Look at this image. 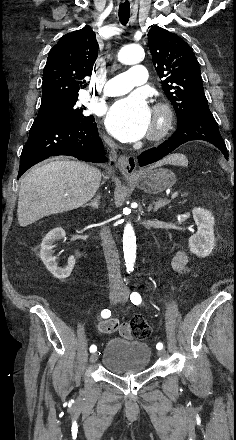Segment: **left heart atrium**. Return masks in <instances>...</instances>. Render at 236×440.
<instances>
[{"label":"left heart atrium","instance_id":"1","mask_svg":"<svg viewBox=\"0 0 236 440\" xmlns=\"http://www.w3.org/2000/svg\"><path fill=\"white\" fill-rule=\"evenodd\" d=\"M105 123L108 131L123 142L142 138L151 126V110L139 94L115 101L107 110Z\"/></svg>","mask_w":236,"mask_h":440}]
</instances>
